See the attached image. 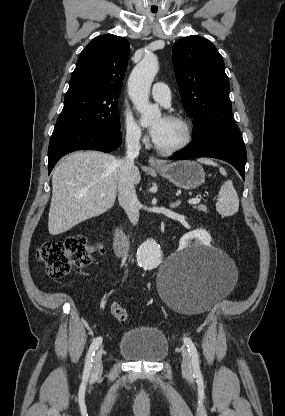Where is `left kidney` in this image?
I'll return each instance as SVG.
<instances>
[{
	"label": "left kidney",
	"mask_w": 285,
	"mask_h": 416,
	"mask_svg": "<svg viewBox=\"0 0 285 416\" xmlns=\"http://www.w3.org/2000/svg\"><path fill=\"white\" fill-rule=\"evenodd\" d=\"M193 234L197 240H200L201 244H204V246H210L211 236L208 232H206V230H195ZM187 242L188 238H186V236H183L180 240V244H182V246H186Z\"/></svg>",
	"instance_id": "1"
}]
</instances>
